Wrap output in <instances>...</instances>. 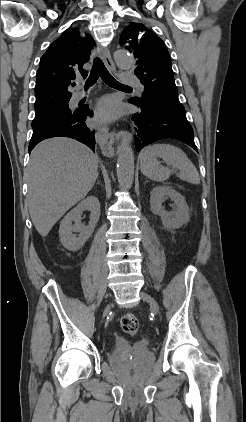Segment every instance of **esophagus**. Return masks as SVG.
I'll return each mask as SVG.
<instances>
[{
    "mask_svg": "<svg viewBox=\"0 0 246 422\" xmlns=\"http://www.w3.org/2000/svg\"><path fill=\"white\" fill-rule=\"evenodd\" d=\"M99 50L105 66L110 71H115V64L111 58L109 49L107 47H100ZM97 141L103 152L107 155L114 154L115 145H119L120 142L119 138L115 134L109 132V127L107 125L98 129Z\"/></svg>",
    "mask_w": 246,
    "mask_h": 422,
    "instance_id": "esophagus-1",
    "label": "esophagus"
}]
</instances>
